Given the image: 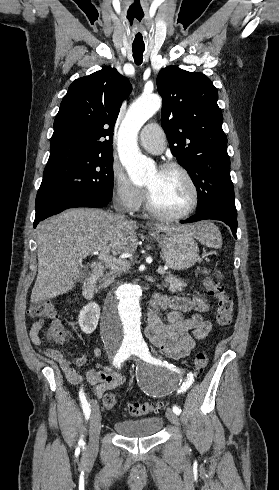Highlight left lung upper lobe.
Wrapping results in <instances>:
<instances>
[{
	"label": "left lung upper lobe",
	"instance_id": "1",
	"mask_svg": "<svg viewBox=\"0 0 279 490\" xmlns=\"http://www.w3.org/2000/svg\"><path fill=\"white\" fill-rule=\"evenodd\" d=\"M156 84L163 98L161 123L171 152L197 188L196 213L216 208L236 214L217 89L204 74L176 66L162 69Z\"/></svg>",
	"mask_w": 279,
	"mask_h": 490
}]
</instances>
